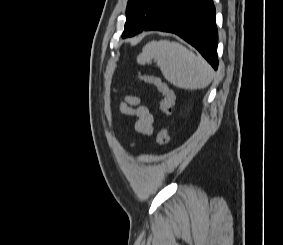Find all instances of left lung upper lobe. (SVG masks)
<instances>
[{
  "instance_id": "1",
  "label": "left lung upper lobe",
  "mask_w": 283,
  "mask_h": 245,
  "mask_svg": "<svg viewBox=\"0 0 283 245\" xmlns=\"http://www.w3.org/2000/svg\"><path fill=\"white\" fill-rule=\"evenodd\" d=\"M173 0H128L122 37H131L150 25Z\"/></svg>"
}]
</instances>
